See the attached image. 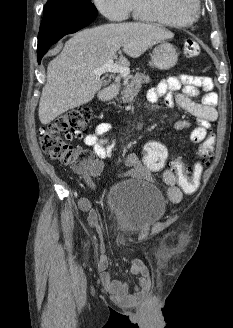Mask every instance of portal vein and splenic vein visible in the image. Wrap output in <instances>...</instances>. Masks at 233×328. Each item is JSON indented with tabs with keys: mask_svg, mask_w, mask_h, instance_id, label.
<instances>
[{
	"mask_svg": "<svg viewBox=\"0 0 233 328\" xmlns=\"http://www.w3.org/2000/svg\"><path fill=\"white\" fill-rule=\"evenodd\" d=\"M110 72V73H117L122 77H127L129 74V69L122 65H118L114 63L113 59H110L106 64L101 67L94 69V73L96 75H102L103 73Z\"/></svg>",
	"mask_w": 233,
	"mask_h": 328,
	"instance_id": "obj_1",
	"label": "portal vein and splenic vein"
}]
</instances>
